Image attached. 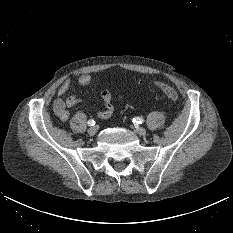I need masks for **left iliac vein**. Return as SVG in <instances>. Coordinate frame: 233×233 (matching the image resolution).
I'll use <instances>...</instances> for the list:
<instances>
[{"mask_svg": "<svg viewBox=\"0 0 233 233\" xmlns=\"http://www.w3.org/2000/svg\"><path fill=\"white\" fill-rule=\"evenodd\" d=\"M134 131L139 135H145L146 134V129L142 128V127H135Z\"/></svg>", "mask_w": 233, "mask_h": 233, "instance_id": "4c4485c4", "label": "left iliac vein"}]
</instances>
